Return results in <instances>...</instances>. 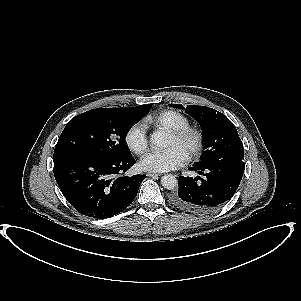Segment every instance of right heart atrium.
Returning a JSON list of instances; mask_svg holds the SVG:
<instances>
[{
  "instance_id": "d8ad5b80",
  "label": "right heart atrium",
  "mask_w": 301,
  "mask_h": 301,
  "mask_svg": "<svg viewBox=\"0 0 301 301\" xmlns=\"http://www.w3.org/2000/svg\"><path fill=\"white\" fill-rule=\"evenodd\" d=\"M127 144L135 153L141 154L148 148V139L140 126H134L127 135Z\"/></svg>"
}]
</instances>
